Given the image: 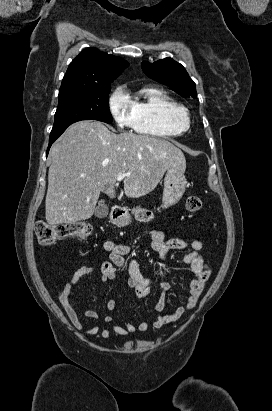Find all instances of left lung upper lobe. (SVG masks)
I'll list each match as a JSON object with an SVG mask.
<instances>
[{"label": "left lung upper lobe", "mask_w": 272, "mask_h": 411, "mask_svg": "<svg viewBox=\"0 0 272 411\" xmlns=\"http://www.w3.org/2000/svg\"><path fill=\"white\" fill-rule=\"evenodd\" d=\"M141 67L149 78L171 87L179 95L197 98L195 83L185 68L173 59L165 58L154 63L142 62Z\"/></svg>", "instance_id": "left-lung-upper-lobe-1"}]
</instances>
